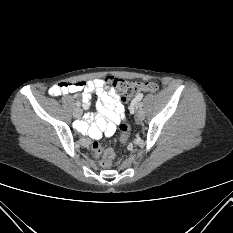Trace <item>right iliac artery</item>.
<instances>
[{
    "instance_id": "1",
    "label": "right iliac artery",
    "mask_w": 233,
    "mask_h": 233,
    "mask_svg": "<svg viewBox=\"0 0 233 233\" xmlns=\"http://www.w3.org/2000/svg\"><path fill=\"white\" fill-rule=\"evenodd\" d=\"M76 106H77V107H80V106H81V103L77 101V102H76Z\"/></svg>"
}]
</instances>
